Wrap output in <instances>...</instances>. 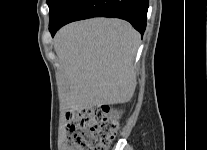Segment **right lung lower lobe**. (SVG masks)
<instances>
[{
  "mask_svg": "<svg viewBox=\"0 0 207 150\" xmlns=\"http://www.w3.org/2000/svg\"><path fill=\"white\" fill-rule=\"evenodd\" d=\"M149 0H67L49 23L54 36L63 25L92 17H115L132 24L141 34L146 28Z\"/></svg>",
  "mask_w": 207,
  "mask_h": 150,
  "instance_id": "right-lung-lower-lobe-1",
  "label": "right lung lower lobe"
}]
</instances>
